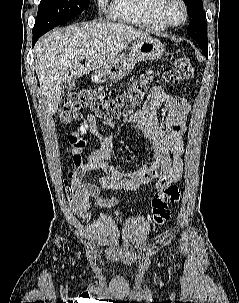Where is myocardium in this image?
Instances as JSON below:
<instances>
[{"instance_id": "obj_1", "label": "myocardium", "mask_w": 239, "mask_h": 303, "mask_svg": "<svg viewBox=\"0 0 239 303\" xmlns=\"http://www.w3.org/2000/svg\"><path fill=\"white\" fill-rule=\"evenodd\" d=\"M169 0H155V4L153 6V12L156 19L162 23L166 27H180L182 26L188 18V7L184 0H176L181 6L183 10V19L179 23H173L168 19L164 12L165 5Z\"/></svg>"}]
</instances>
